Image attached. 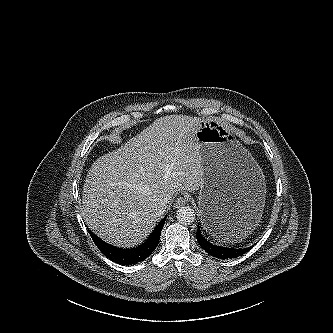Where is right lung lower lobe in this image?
Returning a JSON list of instances; mask_svg holds the SVG:
<instances>
[{"mask_svg": "<svg viewBox=\"0 0 333 333\" xmlns=\"http://www.w3.org/2000/svg\"><path fill=\"white\" fill-rule=\"evenodd\" d=\"M166 217L155 227L148 239L136 248L122 249L105 243L89 231L94 243L100 251L113 262L130 265L145 260L157 247Z\"/></svg>", "mask_w": 333, "mask_h": 333, "instance_id": "98d812e1", "label": "right lung lower lobe"}]
</instances>
